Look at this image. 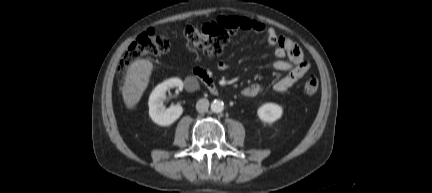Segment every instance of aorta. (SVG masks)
I'll list each match as a JSON object with an SVG mask.
<instances>
[{"label":"aorta","mask_w":432,"mask_h":193,"mask_svg":"<svg viewBox=\"0 0 432 193\" xmlns=\"http://www.w3.org/2000/svg\"><path fill=\"white\" fill-rule=\"evenodd\" d=\"M211 110L214 113H221L224 110V103L220 100H214L211 103Z\"/></svg>","instance_id":"obj_1"}]
</instances>
